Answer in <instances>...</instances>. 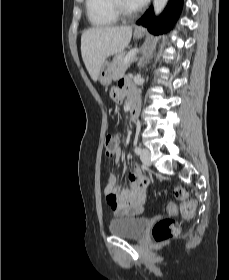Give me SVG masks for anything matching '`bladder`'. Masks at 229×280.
Returning a JSON list of instances; mask_svg holds the SVG:
<instances>
[{
  "instance_id": "31cf9c89",
  "label": "bladder",
  "mask_w": 229,
  "mask_h": 280,
  "mask_svg": "<svg viewBox=\"0 0 229 280\" xmlns=\"http://www.w3.org/2000/svg\"><path fill=\"white\" fill-rule=\"evenodd\" d=\"M147 220L144 217H125L113 219L109 224L112 235L127 238L140 239L146 232Z\"/></svg>"
}]
</instances>
